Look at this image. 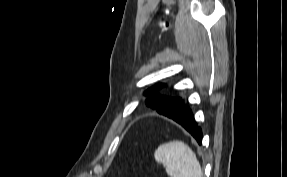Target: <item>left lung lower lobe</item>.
Masks as SVG:
<instances>
[{
    "instance_id": "1",
    "label": "left lung lower lobe",
    "mask_w": 287,
    "mask_h": 177,
    "mask_svg": "<svg viewBox=\"0 0 287 177\" xmlns=\"http://www.w3.org/2000/svg\"><path fill=\"white\" fill-rule=\"evenodd\" d=\"M178 108L174 113L169 114L167 117L175 120L182 125L195 139L201 144L202 143V131L196 124L191 110L184 105L181 98L177 97L174 99Z\"/></svg>"
}]
</instances>
